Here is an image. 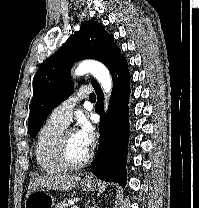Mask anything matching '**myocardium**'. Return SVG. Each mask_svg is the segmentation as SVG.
I'll use <instances>...</instances> for the list:
<instances>
[{
    "label": "myocardium",
    "mask_w": 199,
    "mask_h": 208,
    "mask_svg": "<svg viewBox=\"0 0 199 208\" xmlns=\"http://www.w3.org/2000/svg\"><path fill=\"white\" fill-rule=\"evenodd\" d=\"M74 132V129L65 128L58 136L54 145V159L59 166L65 170H77L85 165L92 158V151L89 150L87 156L79 162H71L67 156V140L70 133Z\"/></svg>",
    "instance_id": "obj_1"
}]
</instances>
